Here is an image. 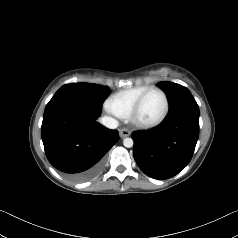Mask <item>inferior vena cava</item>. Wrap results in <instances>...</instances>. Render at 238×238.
Returning a JSON list of instances; mask_svg holds the SVG:
<instances>
[{
    "label": "inferior vena cava",
    "instance_id": "602c4592",
    "mask_svg": "<svg viewBox=\"0 0 238 238\" xmlns=\"http://www.w3.org/2000/svg\"><path fill=\"white\" fill-rule=\"evenodd\" d=\"M100 122L109 129H116L118 127V121L109 116L102 117Z\"/></svg>",
    "mask_w": 238,
    "mask_h": 238
}]
</instances>
